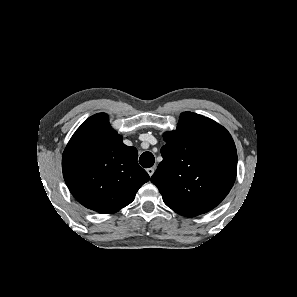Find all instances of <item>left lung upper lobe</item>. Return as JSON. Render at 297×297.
Here are the masks:
<instances>
[{"instance_id": "obj_1", "label": "left lung upper lobe", "mask_w": 297, "mask_h": 297, "mask_svg": "<svg viewBox=\"0 0 297 297\" xmlns=\"http://www.w3.org/2000/svg\"><path fill=\"white\" fill-rule=\"evenodd\" d=\"M163 137V161L151 182L164 203L186 217L212 210L236 179L237 151L230 133L209 118L183 112L177 129Z\"/></svg>"}]
</instances>
